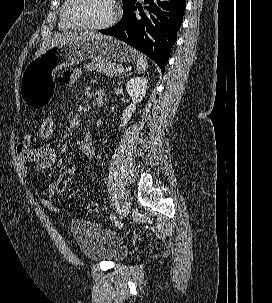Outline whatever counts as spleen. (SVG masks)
<instances>
[{"label":"spleen","instance_id":"obj_1","mask_svg":"<svg viewBox=\"0 0 272 303\" xmlns=\"http://www.w3.org/2000/svg\"><path fill=\"white\" fill-rule=\"evenodd\" d=\"M137 54H138L137 70L139 72H144L148 68L147 59L143 54L141 53H137Z\"/></svg>","mask_w":272,"mask_h":303}]
</instances>
